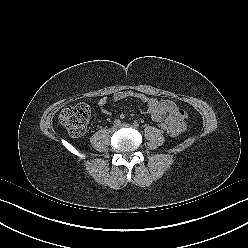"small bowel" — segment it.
<instances>
[{
  "label": "small bowel",
  "mask_w": 248,
  "mask_h": 248,
  "mask_svg": "<svg viewBox=\"0 0 248 248\" xmlns=\"http://www.w3.org/2000/svg\"><path fill=\"white\" fill-rule=\"evenodd\" d=\"M128 98H135L145 102L147 104V109L144 112L149 114L155 122H166L170 128V135L176 136L185 130L187 113L178 108L173 101L168 99L158 100L133 90L117 91L113 94L111 100L118 102ZM107 102V97H102L98 101V104L104 113H108L105 108Z\"/></svg>",
  "instance_id": "obj_1"
}]
</instances>
